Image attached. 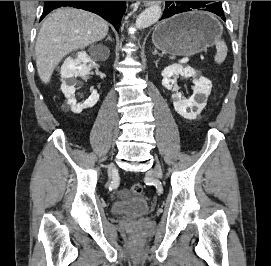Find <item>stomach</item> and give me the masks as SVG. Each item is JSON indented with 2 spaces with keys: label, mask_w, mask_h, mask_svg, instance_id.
I'll return each instance as SVG.
<instances>
[{
  "label": "stomach",
  "mask_w": 271,
  "mask_h": 266,
  "mask_svg": "<svg viewBox=\"0 0 271 266\" xmlns=\"http://www.w3.org/2000/svg\"><path fill=\"white\" fill-rule=\"evenodd\" d=\"M221 33L220 23L211 14L191 11L157 24L152 41L163 53L190 56L212 46Z\"/></svg>",
  "instance_id": "0dacf381"
}]
</instances>
